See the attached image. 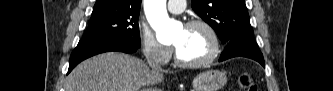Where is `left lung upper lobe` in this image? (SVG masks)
<instances>
[{"label": "left lung upper lobe", "instance_id": "left-lung-upper-lobe-1", "mask_svg": "<svg viewBox=\"0 0 333 91\" xmlns=\"http://www.w3.org/2000/svg\"><path fill=\"white\" fill-rule=\"evenodd\" d=\"M192 8L224 44L239 36L253 35L244 0H192Z\"/></svg>", "mask_w": 333, "mask_h": 91}]
</instances>
